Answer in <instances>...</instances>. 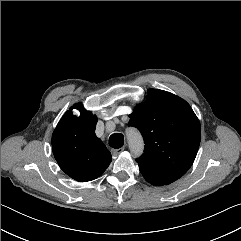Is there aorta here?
<instances>
[{
  "mask_svg": "<svg viewBox=\"0 0 241 241\" xmlns=\"http://www.w3.org/2000/svg\"><path fill=\"white\" fill-rule=\"evenodd\" d=\"M130 148L135 152H140L143 146L141 135L136 130H131L128 133Z\"/></svg>",
  "mask_w": 241,
  "mask_h": 241,
  "instance_id": "762f6f07",
  "label": "aorta"
}]
</instances>
